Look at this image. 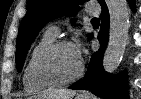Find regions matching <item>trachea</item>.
<instances>
[{
    "label": "trachea",
    "mask_w": 141,
    "mask_h": 99,
    "mask_svg": "<svg viewBox=\"0 0 141 99\" xmlns=\"http://www.w3.org/2000/svg\"><path fill=\"white\" fill-rule=\"evenodd\" d=\"M91 22H93V23H99L100 20H99L98 18H93V19L91 20Z\"/></svg>",
    "instance_id": "trachea-1"
}]
</instances>
